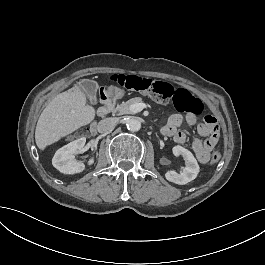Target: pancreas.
<instances>
[{
    "mask_svg": "<svg viewBox=\"0 0 265 265\" xmlns=\"http://www.w3.org/2000/svg\"><path fill=\"white\" fill-rule=\"evenodd\" d=\"M142 103L141 97L131 98L126 102H122L118 104L115 108H110L113 114L123 115V114H130L132 113L130 110L131 105Z\"/></svg>",
    "mask_w": 265,
    "mask_h": 265,
    "instance_id": "1",
    "label": "pancreas"
}]
</instances>
